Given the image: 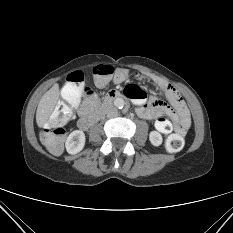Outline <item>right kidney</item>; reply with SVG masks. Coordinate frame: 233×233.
Segmentation results:
<instances>
[{
	"instance_id": "obj_1",
	"label": "right kidney",
	"mask_w": 233,
	"mask_h": 233,
	"mask_svg": "<svg viewBox=\"0 0 233 233\" xmlns=\"http://www.w3.org/2000/svg\"><path fill=\"white\" fill-rule=\"evenodd\" d=\"M85 145V134L83 131L75 130L66 139L65 147L69 154L80 152Z\"/></svg>"
}]
</instances>
